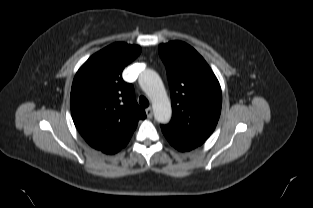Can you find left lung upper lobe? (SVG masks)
I'll return each instance as SVG.
<instances>
[{"label":"left lung upper lobe","instance_id":"obj_1","mask_svg":"<svg viewBox=\"0 0 313 208\" xmlns=\"http://www.w3.org/2000/svg\"><path fill=\"white\" fill-rule=\"evenodd\" d=\"M171 89L172 119L162 125L165 136L200 146L214 131L221 112L219 82L203 57L190 45H159Z\"/></svg>","mask_w":313,"mask_h":208}]
</instances>
